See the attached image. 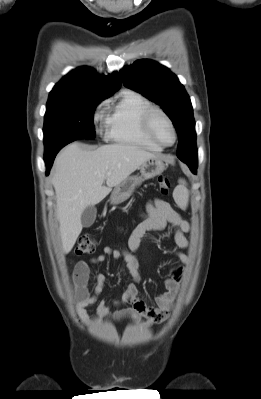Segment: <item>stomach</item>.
<instances>
[{"label":"stomach","mask_w":261,"mask_h":399,"mask_svg":"<svg viewBox=\"0 0 261 399\" xmlns=\"http://www.w3.org/2000/svg\"><path fill=\"white\" fill-rule=\"evenodd\" d=\"M138 169L140 170V175L129 176L114 187L110 196L111 204L117 205L127 200L143 181L160 175L164 171L165 165L161 159L151 158L145 161Z\"/></svg>","instance_id":"0dacf381"}]
</instances>
